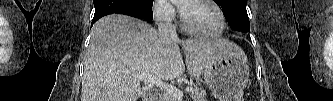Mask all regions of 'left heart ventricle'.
Masks as SVG:
<instances>
[{"label":"left heart ventricle","mask_w":333,"mask_h":101,"mask_svg":"<svg viewBox=\"0 0 333 101\" xmlns=\"http://www.w3.org/2000/svg\"><path fill=\"white\" fill-rule=\"evenodd\" d=\"M183 11L189 26L201 33L215 32L220 25L216 11L203 2H183Z\"/></svg>","instance_id":"1"}]
</instances>
